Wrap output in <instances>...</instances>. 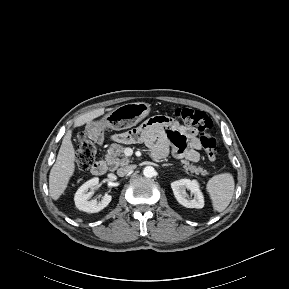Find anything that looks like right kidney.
<instances>
[{"label": "right kidney", "instance_id": "obj_1", "mask_svg": "<svg viewBox=\"0 0 289 289\" xmlns=\"http://www.w3.org/2000/svg\"><path fill=\"white\" fill-rule=\"evenodd\" d=\"M99 179L94 177L85 182L75 193L74 201L80 211L96 213L104 209L111 202V195L106 194L100 202L97 200L88 201L93 190L97 187Z\"/></svg>", "mask_w": 289, "mask_h": 289}]
</instances>
